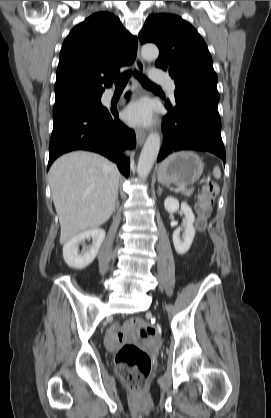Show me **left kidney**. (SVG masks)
Segmentation results:
<instances>
[{
	"instance_id": "left-kidney-1",
	"label": "left kidney",
	"mask_w": 271,
	"mask_h": 418,
	"mask_svg": "<svg viewBox=\"0 0 271 418\" xmlns=\"http://www.w3.org/2000/svg\"><path fill=\"white\" fill-rule=\"evenodd\" d=\"M164 207L169 213H173L179 210V201L173 197H167L164 201ZM181 211L185 215L181 227L177 228L173 233V243L175 250L178 254H185L191 247V244L195 237V228L193 223L195 216L191 207L183 202L181 203ZM183 229V234L180 236V232Z\"/></svg>"
}]
</instances>
